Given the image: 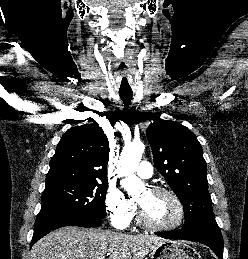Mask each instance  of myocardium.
<instances>
[{
	"label": "myocardium",
	"mask_w": 248,
	"mask_h": 259,
	"mask_svg": "<svg viewBox=\"0 0 248 259\" xmlns=\"http://www.w3.org/2000/svg\"><path fill=\"white\" fill-rule=\"evenodd\" d=\"M148 190L153 193H163L168 195L175 202L177 206L178 216H177V219L172 224L156 225L147 220L143 212V209L138 204V222L140 223V225H142L146 229H149L151 231H156V232H169L181 226L185 218V208L179 196L171 189L163 186H151Z\"/></svg>",
	"instance_id": "f54148a6"
}]
</instances>
